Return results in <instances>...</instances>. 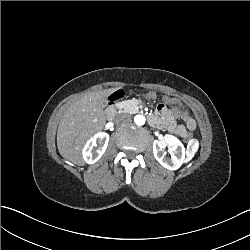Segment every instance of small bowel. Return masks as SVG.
<instances>
[{"label":"small bowel","instance_id":"c3829d8e","mask_svg":"<svg viewBox=\"0 0 250 250\" xmlns=\"http://www.w3.org/2000/svg\"><path fill=\"white\" fill-rule=\"evenodd\" d=\"M176 117L179 118V119H182V120H184V121H186V120H192V119L189 117L188 113H187L186 111H184V110H179V111H177V112H176ZM162 119H165V117L163 116ZM192 121H193V120H192ZM168 122H170L169 119H168Z\"/></svg>","mask_w":250,"mask_h":250}]
</instances>
